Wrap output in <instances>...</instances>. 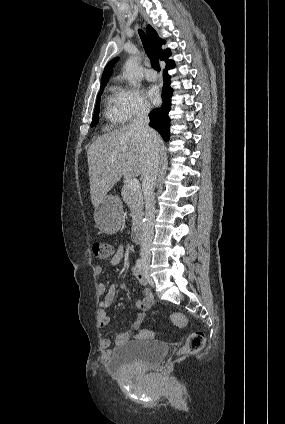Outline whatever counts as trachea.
I'll use <instances>...</instances> for the list:
<instances>
[{
	"label": "trachea",
	"instance_id": "3493384b",
	"mask_svg": "<svg viewBox=\"0 0 285 424\" xmlns=\"http://www.w3.org/2000/svg\"><path fill=\"white\" fill-rule=\"evenodd\" d=\"M139 35H140L141 41L143 43V47L145 49V52H146L147 56L149 57V59L151 61L152 67L156 71H160V65H159L158 57H157L155 51L153 50L149 39L147 38V36L145 35V33L142 30H139Z\"/></svg>",
	"mask_w": 285,
	"mask_h": 424
}]
</instances>
